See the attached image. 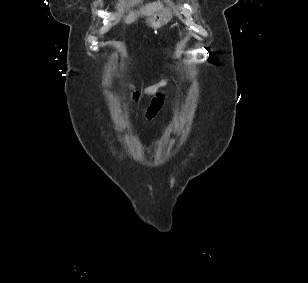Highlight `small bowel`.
I'll use <instances>...</instances> for the list:
<instances>
[{
	"mask_svg": "<svg viewBox=\"0 0 308 283\" xmlns=\"http://www.w3.org/2000/svg\"><path fill=\"white\" fill-rule=\"evenodd\" d=\"M124 84L130 90V99L134 102L141 101L144 97H152L145 116L148 120L154 119L162 106L165 83L159 82L143 88H139L131 82H125Z\"/></svg>",
	"mask_w": 308,
	"mask_h": 283,
	"instance_id": "obj_1",
	"label": "small bowel"
}]
</instances>
